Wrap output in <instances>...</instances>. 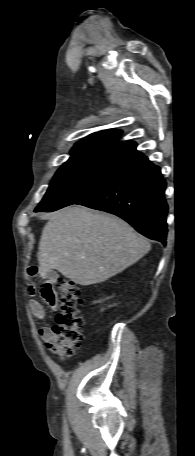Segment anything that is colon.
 I'll return each instance as SVG.
<instances>
[{
    "instance_id": "1",
    "label": "colon",
    "mask_w": 195,
    "mask_h": 456,
    "mask_svg": "<svg viewBox=\"0 0 195 456\" xmlns=\"http://www.w3.org/2000/svg\"><path fill=\"white\" fill-rule=\"evenodd\" d=\"M82 303L79 286L69 279L61 278L56 297L58 313L53 327L56 340L47 343V347L61 359L71 357L82 340Z\"/></svg>"
}]
</instances>
